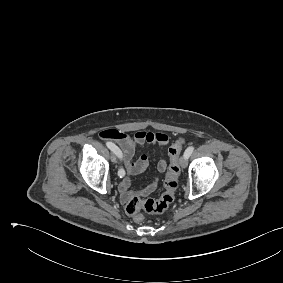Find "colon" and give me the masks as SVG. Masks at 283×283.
I'll list each match as a JSON object with an SVG mask.
<instances>
[{
	"instance_id": "colon-1",
	"label": "colon",
	"mask_w": 283,
	"mask_h": 283,
	"mask_svg": "<svg viewBox=\"0 0 283 283\" xmlns=\"http://www.w3.org/2000/svg\"><path fill=\"white\" fill-rule=\"evenodd\" d=\"M183 144L184 139L178 138L168 150L170 165L165 174L163 182L164 192L161 196L158 199H141L138 196H134L126 203V213L135 221H142V210L148 213H162L173 202L175 190L178 186V176L180 174L179 155Z\"/></svg>"
}]
</instances>
